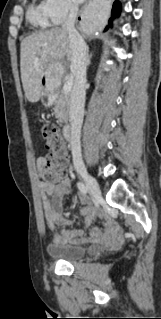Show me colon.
Returning a JSON list of instances; mask_svg holds the SVG:
<instances>
[{
    "label": "colon",
    "instance_id": "colon-1",
    "mask_svg": "<svg viewBox=\"0 0 161 319\" xmlns=\"http://www.w3.org/2000/svg\"><path fill=\"white\" fill-rule=\"evenodd\" d=\"M40 132L52 150L43 165L45 178L52 181L65 175L69 166V155L64 150L63 137L55 125L43 123L40 126Z\"/></svg>",
    "mask_w": 161,
    "mask_h": 319
}]
</instances>
